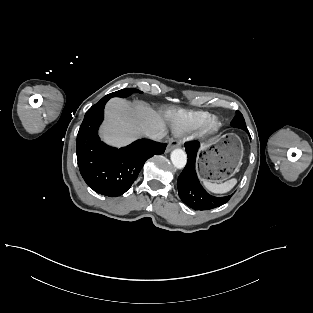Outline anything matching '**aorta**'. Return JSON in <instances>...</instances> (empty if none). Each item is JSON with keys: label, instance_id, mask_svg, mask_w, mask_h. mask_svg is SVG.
Wrapping results in <instances>:
<instances>
[{"label": "aorta", "instance_id": "1", "mask_svg": "<svg viewBox=\"0 0 313 313\" xmlns=\"http://www.w3.org/2000/svg\"><path fill=\"white\" fill-rule=\"evenodd\" d=\"M171 161L174 167L182 169L187 163L186 152L182 149H175L171 152Z\"/></svg>", "mask_w": 313, "mask_h": 313}]
</instances>
